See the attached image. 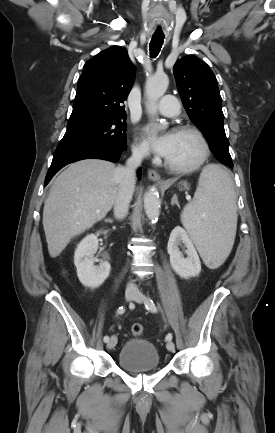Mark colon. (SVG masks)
<instances>
[{"mask_svg":"<svg viewBox=\"0 0 275 433\" xmlns=\"http://www.w3.org/2000/svg\"><path fill=\"white\" fill-rule=\"evenodd\" d=\"M131 332L136 337H141L144 334V327L141 324H134L131 328Z\"/></svg>","mask_w":275,"mask_h":433,"instance_id":"5ec220e1","label":"colon"}]
</instances>
